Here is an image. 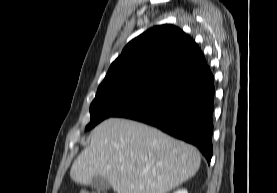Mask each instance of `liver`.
<instances>
[{
  "label": "liver",
  "mask_w": 277,
  "mask_h": 193,
  "mask_svg": "<svg viewBox=\"0 0 277 193\" xmlns=\"http://www.w3.org/2000/svg\"><path fill=\"white\" fill-rule=\"evenodd\" d=\"M200 163L192 145L143 123L109 118L92 131L70 177L83 185L103 177L116 193H167L194 176Z\"/></svg>",
  "instance_id": "6515ba94"
}]
</instances>
